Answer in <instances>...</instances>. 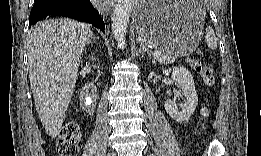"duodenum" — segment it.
<instances>
[{"mask_svg": "<svg viewBox=\"0 0 261 156\" xmlns=\"http://www.w3.org/2000/svg\"><path fill=\"white\" fill-rule=\"evenodd\" d=\"M81 100L83 103V109L88 113L91 114L94 108V104L92 100L94 99V92L93 88L88 86L85 87L81 92Z\"/></svg>", "mask_w": 261, "mask_h": 156, "instance_id": "obj_1", "label": "duodenum"}]
</instances>
